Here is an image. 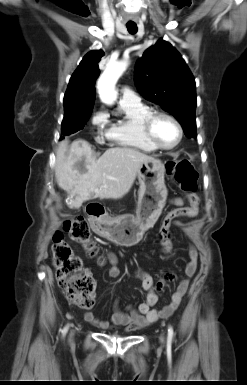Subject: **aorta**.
Wrapping results in <instances>:
<instances>
[{
  "instance_id": "1",
  "label": "aorta",
  "mask_w": 247,
  "mask_h": 385,
  "mask_svg": "<svg viewBox=\"0 0 247 385\" xmlns=\"http://www.w3.org/2000/svg\"><path fill=\"white\" fill-rule=\"evenodd\" d=\"M128 66L127 60L110 61L97 82L101 101L112 105L117 99L116 83Z\"/></svg>"
}]
</instances>
